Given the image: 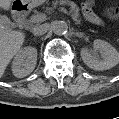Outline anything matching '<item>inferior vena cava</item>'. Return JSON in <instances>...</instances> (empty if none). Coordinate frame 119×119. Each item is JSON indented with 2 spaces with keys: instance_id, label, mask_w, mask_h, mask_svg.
Wrapping results in <instances>:
<instances>
[{
  "instance_id": "inferior-vena-cava-1",
  "label": "inferior vena cava",
  "mask_w": 119,
  "mask_h": 119,
  "mask_svg": "<svg viewBox=\"0 0 119 119\" xmlns=\"http://www.w3.org/2000/svg\"><path fill=\"white\" fill-rule=\"evenodd\" d=\"M50 28V25L48 23H44L41 25H37L33 28L32 32L35 36L43 35L45 34Z\"/></svg>"
}]
</instances>
